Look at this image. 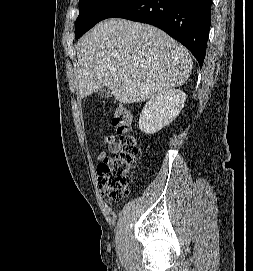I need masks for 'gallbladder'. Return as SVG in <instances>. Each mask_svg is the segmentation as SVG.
<instances>
[{"mask_svg":"<svg viewBox=\"0 0 253 271\" xmlns=\"http://www.w3.org/2000/svg\"><path fill=\"white\" fill-rule=\"evenodd\" d=\"M97 94L101 97V98H104V99H107L109 97L112 96V91L106 87V86H102L98 91H97Z\"/></svg>","mask_w":253,"mask_h":271,"instance_id":"gallbladder-1","label":"gallbladder"}]
</instances>
